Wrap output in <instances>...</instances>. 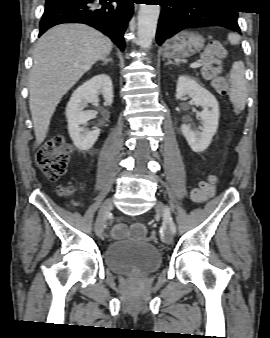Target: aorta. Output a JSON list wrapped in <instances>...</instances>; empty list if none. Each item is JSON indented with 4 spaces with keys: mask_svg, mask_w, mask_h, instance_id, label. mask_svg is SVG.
I'll list each match as a JSON object with an SVG mask.
<instances>
[{
    "mask_svg": "<svg viewBox=\"0 0 270 338\" xmlns=\"http://www.w3.org/2000/svg\"><path fill=\"white\" fill-rule=\"evenodd\" d=\"M159 14V5L141 4L140 6L138 13V40L144 50H148L152 45Z\"/></svg>",
    "mask_w": 270,
    "mask_h": 338,
    "instance_id": "1",
    "label": "aorta"
}]
</instances>
